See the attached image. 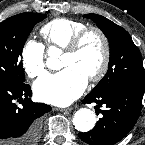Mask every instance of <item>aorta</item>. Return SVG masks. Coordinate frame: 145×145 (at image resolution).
Segmentation results:
<instances>
[{
  "label": "aorta",
  "instance_id": "obj_1",
  "mask_svg": "<svg viewBox=\"0 0 145 145\" xmlns=\"http://www.w3.org/2000/svg\"><path fill=\"white\" fill-rule=\"evenodd\" d=\"M60 49L55 46L48 47L47 54L48 58L46 60V66L52 70L61 69V62L58 59L60 54ZM96 123V117L92 110L88 108H81L75 112L73 116V125L75 129L80 132H88L92 130Z\"/></svg>",
  "mask_w": 145,
  "mask_h": 145
}]
</instances>
